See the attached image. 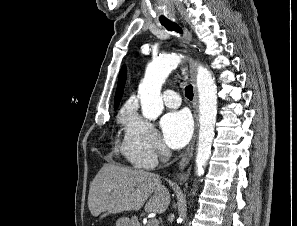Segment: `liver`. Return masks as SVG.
Here are the masks:
<instances>
[{
  "label": "liver",
  "mask_w": 297,
  "mask_h": 226,
  "mask_svg": "<svg viewBox=\"0 0 297 226\" xmlns=\"http://www.w3.org/2000/svg\"><path fill=\"white\" fill-rule=\"evenodd\" d=\"M169 203V191L159 175L113 163L103 165L89 188L88 208L95 217L103 213L100 219L123 211H138L144 204L146 212L163 213Z\"/></svg>",
  "instance_id": "obj_1"
}]
</instances>
